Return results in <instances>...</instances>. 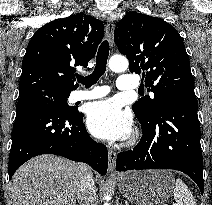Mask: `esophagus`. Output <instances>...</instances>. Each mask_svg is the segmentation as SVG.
Wrapping results in <instances>:
<instances>
[{
  "mask_svg": "<svg viewBox=\"0 0 212 205\" xmlns=\"http://www.w3.org/2000/svg\"><path fill=\"white\" fill-rule=\"evenodd\" d=\"M114 20L112 16L107 17V23H106V37L109 41V43L113 44V38H114ZM108 171L110 173H114L115 171V163H116V152L113 148H109L108 150Z\"/></svg>",
  "mask_w": 212,
  "mask_h": 205,
  "instance_id": "34e87169",
  "label": "esophagus"
}]
</instances>
